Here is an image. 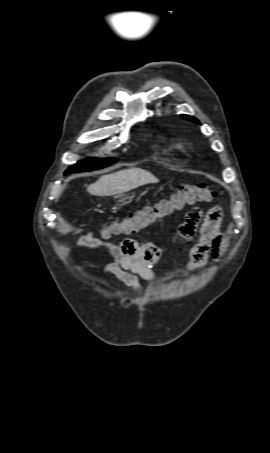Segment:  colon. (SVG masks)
I'll return each instance as SVG.
<instances>
[{
  "instance_id": "1",
  "label": "colon",
  "mask_w": 270,
  "mask_h": 453,
  "mask_svg": "<svg viewBox=\"0 0 270 453\" xmlns=\"http://www.w3.org/2000/svg\"><path fill=\"white\" fill-rule=\"evenodd\" d=\"M216 197L217 192L207 185H181L169 198L160 200L152 206L145 207L119 221L106 225L102 235L108 238L117 235L135 234L157 220L170 216L186 205L211 202Z\"/></svg>"
}]
</instances>
